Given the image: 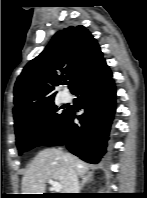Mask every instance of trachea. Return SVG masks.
Instances as JSON below:
<instances>
[{
    "mask_svg": "<svg viewBox=\"0 0 147 198\" xmlns=\"http://www.w3.org/2000/svg\"><path fill=\"white\" fill-rule=\"evenodd\" d=\"M64 84H65V85L68 84V81H65Z\"/></svg>",
    "mask_w": 147,
    "mask_h": 198,
    "instance_id": "1",
    "label": "trachea"
}]
</instances>
